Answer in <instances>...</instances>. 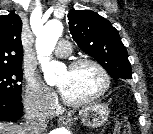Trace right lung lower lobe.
<instances>
[{"instance_id": "obj_1", "label": "right lung lower lobe", "mask_w": 153, "mask_h": 134, "mask_svg": "<svg viewBox=\"0 0 153 134\" xmlns=\"http://www.w3.org/2000/svg\"><path fill=\"white\" fill-rule=\"evenodd\" d=\"M23 104L21 100L0 96V120L16 121L22 116Z\"/></svg>"}]
</instances>
